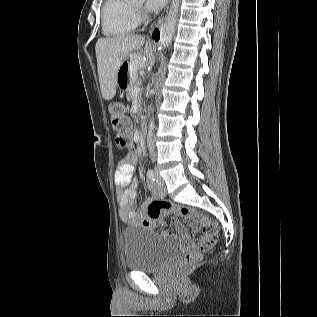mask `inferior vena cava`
I'll use <instances>...</instances> for the list:
<instances>
[{
	"label": "inferior vena cava",
	"mask_w": 317,
	"mask_h": 317,
	"mask_svg": "<svg viewBox=\"0 0 317 317\" xmlns=\"http://www.w3.org/2000/svg\"><path fill=\"white\" fill-rule=\"evenodd\" d=\"M153 130H154V121L150 120L149 131H148V136H147V144H148L150 155L153 157V160H154V156H155L154 149H155V146H154V142H153V138H152Z\"/></svg>",
	"instance_id": "602c4592"
}]
</instances>
